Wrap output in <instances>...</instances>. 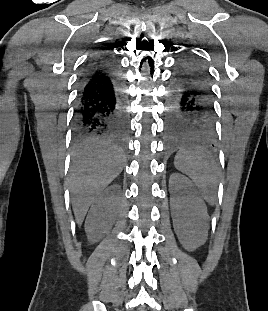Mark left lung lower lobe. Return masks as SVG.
I'll return each mask as SVG.
<instances>
[{
	"label": "left lung lower lobe",
	"mask_w": 268,
	"mask_h": 311,
	"mask_svg": "<svg viewBox=\"0 0 268 311\" xmlns=\"http://www.w3.org/2000/svg\"><path fill=\"white\" fill-rule=\"evenodd\" d=\"M167 111V141H216L209 73L197 57L177 60Z\"/></svg>",
	"instance_id": "left-lung-lower-lobe-1"
}]
</instances>
